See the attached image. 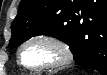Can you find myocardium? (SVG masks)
<instances>
[{"instance_id": "myocardium-1", "label": "myocardium", "mask_w": 107, "mask_h": 75, "mask_svg": "<svg viewBox=\"0 0 107 75\" xmlns=\"http://www.w3.org/2000/svg\"><path fill=\"white\" fill-rule=\"evenodd\" d=\"M34 42H44L52 47H54L59 53V59L50 64L41 65V66H30L27 65L22 58V53L25 47ZM18 61L26 69L31 71H45L53 70L60 67H63L69 64L73 59V51L70 44L63 38L50 34V33H38L27 38L18 49Z\"/></svg>"}]
</instances>
